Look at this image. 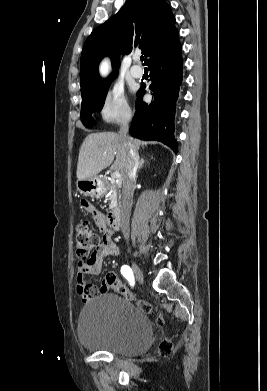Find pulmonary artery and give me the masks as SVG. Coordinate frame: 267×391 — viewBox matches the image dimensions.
<instances>
[{
  "label": "pulmonary artery",
  "instance_id": "obj_1",
  "mask_svg": "<svg viewBox=\"0 0 267 391\" xmlns=\"http://www.w3.org/2000/svg\"><path fill=\"white\" fill-rule=\"evenodd\" d=\"M134 60L137 62L139 60V56H135ZM130 72H131L132 76L135 78L142 77L143 73H144L143 69L138 65H133L130 69Z\"/></svg>",
  "mask_w": 267,
  "mask_h": 391
}]
</instances>
